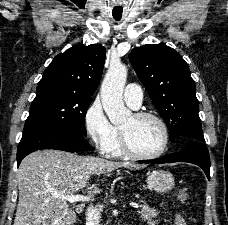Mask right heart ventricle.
Wrapping results in <instances>:
<instances>
[{"label":"right heart ventricle","mask_w":228,"mask_h":225,"mask_svg":"<svg viewBox=\"0 0 228 225\" xmlns=\"http://www.w3.org/2000/svg\"><path fill=\"white\" fill-rule=\"evenodd\" d=\"M102 150L108 157H121L125 155L121 146V132L119 128H115L114 138Z\"/></svg>","instance_id":"1"}]
</instances>
